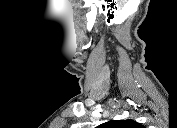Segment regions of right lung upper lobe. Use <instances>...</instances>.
Segmentation results:
<instances>
[{"label":"right lung upper lobe","mask_w":177,"mask_h":128,"mask_svg":"<svg viewBox=\"0 0 177 128\" xmlns=\"http://www.w3.org/2000/svg\"><path fill=\"white\" fill-rule=\"evenodd\" d=\"M102 128H142L143 126L132 119L128 120H111L101 124Z\"/></svg>","instance_id":"obj_1"}]
</instances>
